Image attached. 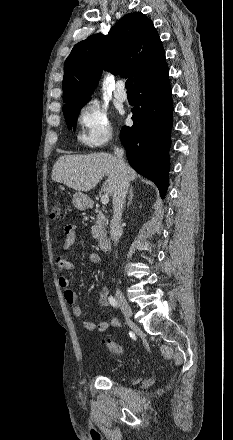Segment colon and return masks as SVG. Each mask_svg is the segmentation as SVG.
<instances>
[{"label": "colon", "mask_w": 233, "mask_h": 440, "mask_svg": "<svg viewBox=\"0 0 233 440\" xmlns=\"http://www.w3.org/2000/svg\"><path fill=\"white\" fill-rule=\"evenodd\" d=\"M63 216L62 204L59 201H55L51 204V217L54 219H59ZM101 344L106 346L109 351L115 355H119L122 353V347L115 343L113 340L104 339L101 341Z\"/></svg>", "instance_id": "1"}]
</instances>
